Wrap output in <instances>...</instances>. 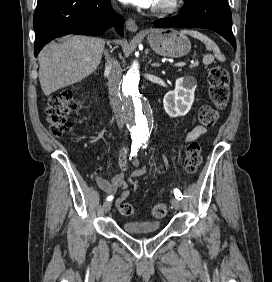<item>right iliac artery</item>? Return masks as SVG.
Listing matches in <instances>:
<instances>
[{"label": "right iliac artery", "mask_w": 272, "mask_h": 282, "mask_svg": "<svg viewBox=\"0 0 272 282\" xmlns=\"http://www.w3.org/2000/svg\"><path fill=\"white\" fill-rule=\"evenodd\" d=\"M140 146H141V142L134 141V142L132 143V145H131V153H132V156H133V154H134V155L137 154V150H138V148H140ZM112 199H113V196H112V195H110V196L107 197V200H108V201H111Z\"/></svg>", "instance_id": "obj_1"}]
</instances>
